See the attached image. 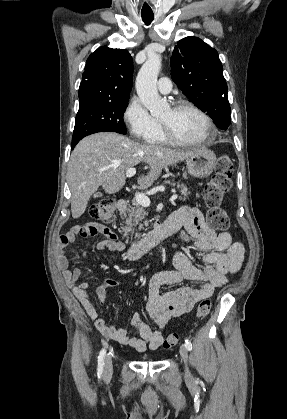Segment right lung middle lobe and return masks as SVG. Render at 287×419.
Returning <instances> with one entry per match:
<instances>
[{
    "label": "right lung middle lobe",
    "mask_w": 287,
    "mask_h": 419,
    "mask_svg": "<svg viewBox=\"0 0 287 419\" xmlns=\"http://www.w3.org/2000/svg\"><path fill=\"white\" fill-rule=\"evenodd\" d=\"M128 100L99 104L79 110L75 119L72 148L83 137L97 132H117L126 134L123 115Z\"/></svg>",
    "instance_id": "1"
}]
</instances>
